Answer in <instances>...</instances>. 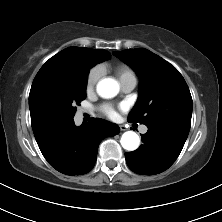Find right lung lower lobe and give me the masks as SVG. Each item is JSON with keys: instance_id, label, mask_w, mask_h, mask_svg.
I'll list each match as a JSON object with an SVG mask.
<instances>
[{"instance_id": "obj_1", "label": "right lung lower lobe", "mask_w": 222, "mask_h": 222, "mask_svg": "<svg viewBox=\"0 0 222 222\" xmlns=\"http://www.w3.org/2000/svg\"><path fill=\"white\" fill-rule=\"evenodd\" d=\"M119 130L118 125L99 118L76 127L73 118L59 117L46 124L35 138L49 164L72 176L92 170L101 140Z\"/></svg>"}]
</instances>
